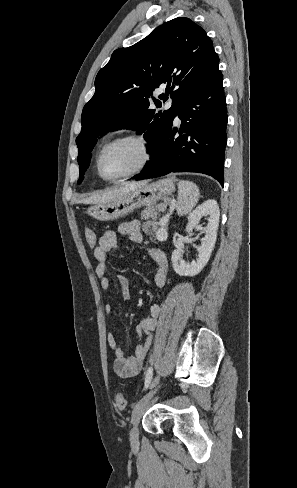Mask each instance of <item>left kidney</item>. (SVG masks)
Here are the masks:
<instances>
[{
	"label": "left kidney",
	"mask_w": 297,
	"mask_h": 488,
	"mask_svg": "<svg viewBox=\"0 0 297 488\" xmlns=\"http://www.w3.org/2000/svg\"><path fill=\"white\" fill-rule=\"evenodd\" d=\"M203 217H207L208 223L202 227L205 236L201 245L196 248L198 252L197 259L186 262L182 259L183 250L176 249L172 252V266L174 271L180 276L197 275L207 264L213 251L220 217V210L215 200L205 201L189 214L186 230L191 231Z\"/></svg>",
	"instance_id": "1"
}]
</instances>
